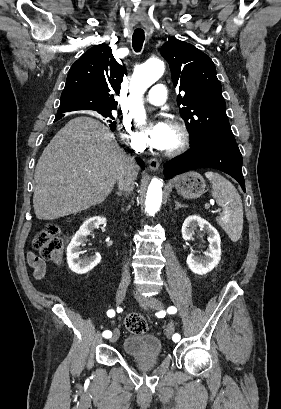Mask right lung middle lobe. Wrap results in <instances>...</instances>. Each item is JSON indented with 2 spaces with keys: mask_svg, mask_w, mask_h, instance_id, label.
Wrapping results in <instances>:
<instances>
[{
  "mask_svg": "<svg viewBox=\"0 0 281 409\" xmlns=\"http://www.w3.org/2000/svg\"><path fill=\"white\" fill-rule=\"evenodd\" d=\"M100 113L102 116L104 117H111L112 119H114V117L112 116V112L111 111H105V112H98Z\"/></svg>",
  "mask_w": 281,
  "mask_h": 409,
  "instance_id": "right-lung-middle-lobe-1",
  "label": "right lung middle lobe"
}]
</instances>
